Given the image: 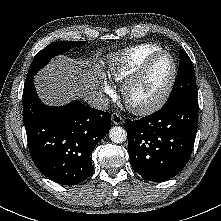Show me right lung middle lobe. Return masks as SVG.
Segmentation results:
<instances>
[{
  "instance_id": "dd1d6c3e",
  "label": "right lung middle lobe",
  "mask_w": 221,
  "mask_h": 221,
  "mask_svg": "<svg viewBox=\"0 0 221 221\" xmlns=\"http://www.w3.org/2000/svg\"><path fill=\"white\" fill-rule=\"evenodd\" d=\"M83 45H85L84 41H57L49 44L36 54L29 67L26 80L33 79L37 71L43 68L52 57L67 51L70 47H81Z\"/></svg>"
}]
</instances>
